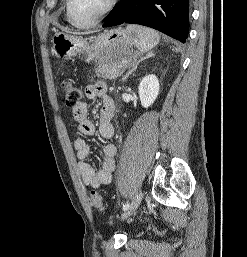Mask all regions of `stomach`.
<instances>
[{
    "label": "stomach",
    "instance_id": "stomach-1",
    "mask_svg": "<svg viewBox=\"0 0 247 257\" xmlns=\"http://www.w3.org/2000/svg\"><path fill=\"white\" fill-rule=\"evenodd\" d=\"M53 52L63 59L84 54L88 61L116 63L121 67L136 62L140 53L134 50V35L126 29L104 31L91 39L56 33L52 38Z\"/></svg>",
    "mask_w": 247,
    "mask_h": 257
}]
</instances>
